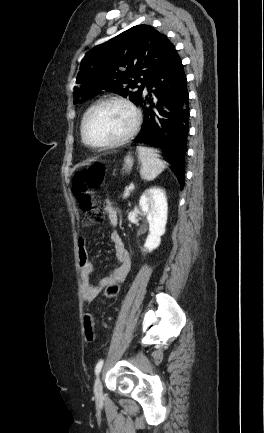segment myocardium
<instances>
[{
    "label": "myocardium",
    "mask_w": 264,
    "mask_h": 433,
    "mask_svg": "<svg viewBox=\"0 0 264 433\" xmlns=\"http://www.w3.org/2000/svg\"><path fill=\"white\" fill-rule=\"evenodd\" d=\"M119 104L122 105L124 107H126L130 113L132 114V125L129 128V130L122 135L121 137L115 139V140H111V141H107V142H103V143H93L92 141L89 140L87 133H86V125L87 122L89 120V118L91 117V115L101 106H104L106 104ZM141 124V113L139 111V109L128 99L123 98V97H118V96H112V97H108V98H104L101 99L99 101H97L95 104H93L88 111L85 113L82 122H81V136H82V140L84 141L85 144H87L90 147L93 148H113V147H117L120 146L124 143H126L128 140H130L138 131L139 127Z\"/></svg>",
    "instance_id": "obj_1"
}]
</instances>
